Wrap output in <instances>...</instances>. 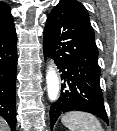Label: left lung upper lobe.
Segmentation results:
<instances>
[{
    "instance_id": "left-lung-upper-lobe-1",
    "label": "left lung upper lobe",
    "mask_w": 117,
    "mask_h": 131,
    "mask_svg": "<svg viewBox=\"0 0 117 131\" xmlns=\"http://www.w3.org/2000/svg\"><path fill=\"white\" fill-rule=\"evenodd\" d=\"M60 2L68 3L74 9V11L78 14L82 24L84 25L91 43L96 47L94 30L90 24L89 15L86 8L76 0H61Z\"/></svg>"
}]
</instances>
